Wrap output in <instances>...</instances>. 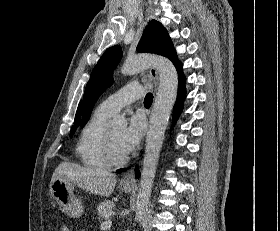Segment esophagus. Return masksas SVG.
I'll list each match as a JSON object with an SVG mask.
<instances>
[{
	"mask_svg": "<svg viewBox=\"0 0 280 231\" xmlns=\"http://www.w3.org/2000/svg\"><path fill=\"white\" fill-rule=\"evenodd\" d=\"M149 75H150V78L153 81L155 87H157L159 80H158V73H157L156 69L150 68ZM133 180H134L133 171H129L121 178V181H133Z\"/></svg>",
	"mask_w": 280,
	"mask_h": 231,
	"instance_id": "obj_1",
	"label": "esophagus"
}]
</instances>
